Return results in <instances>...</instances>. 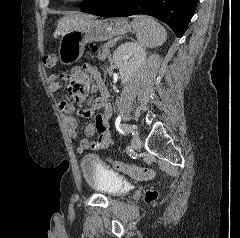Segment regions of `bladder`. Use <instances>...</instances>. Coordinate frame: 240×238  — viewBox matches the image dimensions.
<instances>
[{"label": "bladder", "instance_id": "obj_1", "mask_svg": "<svg viewBox=\"0 0 240 238\" xmlns=\"http://www.w3.org/2000/svg\"><path fill=\"white\" fill-rule=\"evenodd\" d=\"M80 168L88 187L101 194L119 197L130 188L128 181L122 175L105 166L92 153L83 156Z\"/></svg>", "mask_w": 240, "mask_h": 238}]
</instances>
